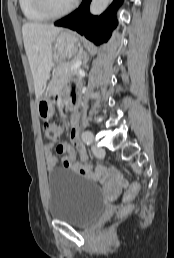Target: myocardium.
<instances>
[{
    "instance_id": "f54148a6",
    "label": "myocardium",
    "mask_w": 174,
    "mask_h": 258,
    "mask_svg": "<svg viewBox=\"0 0 174 258\" xmlns=\"http://www.w3.org/2000/svg\"><path fill=\"white\" fill-rule=\"evenodd\" d=\"M37 8L48 18L62 17L71 12L77 5V0H73L67 7L56 10L50 0H35Z\"/></svg>"
}]
</instances>
